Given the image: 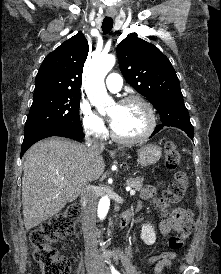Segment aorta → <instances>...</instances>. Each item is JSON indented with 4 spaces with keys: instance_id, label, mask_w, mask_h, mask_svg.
I'll return each mask as SVG.
<instances>
[{
    "instance_id": "obj_1",
    "label": "aorta",
    "mask_w": 221,
    "mask_h": 274,
    "mask_svg": "<svg viewBox=\"0 0 221 274\" xmlns=\"http://www.w3.org/2000/svg\"><path fill=\"white\" fill-rule=\"evenodd\" d=\"M115 64L114 55L101 56L94 60L85 82V91L90 102L95 105L98 110H102L104 106L111 102L107 95L104 79L107 73L113 68ZM110 207V199L104 196L100 199L98 204V217L104 219Z\"/></svg>"
}]
</instances>
